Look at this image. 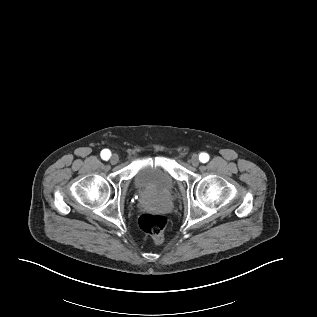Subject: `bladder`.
Instances as JSON below:
<instances>
[{"instance_id":"1","label":"bladder","mask_w":317,"mask_h":317,"mask_svg":"<svg viewBox=\"0 0 317 317\" xmlns=\"http://www.w3.org/2000/svg\"><path fill=\"white\" fill-rule=\"evenodd\" d=\"M134 185L150 196H165L175 188L176 182L172 175L158 166H143L134 176Z\"/></svg>"}]
</instances>
